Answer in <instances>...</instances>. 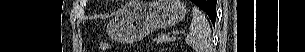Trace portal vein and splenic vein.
Returning <instances> with one entry per match:
<instances>
[{
	"label": "portal vein and splenic vein",
	"mask_w": 305,
	"mask_h": 52,
	"mask_svg": "<svg viewBox=\"0 0 305 52\" xmlns=\"http://www.w3.org/2000/svg\"><path fill=\"white\" fill-rule=\"evenodd\" d=\"M174 34H175V35L185 34V31H175Z\"/></svg>",
	"instance_id": "portal-vein-and-splenic-vein-1"
}]
</instances>
